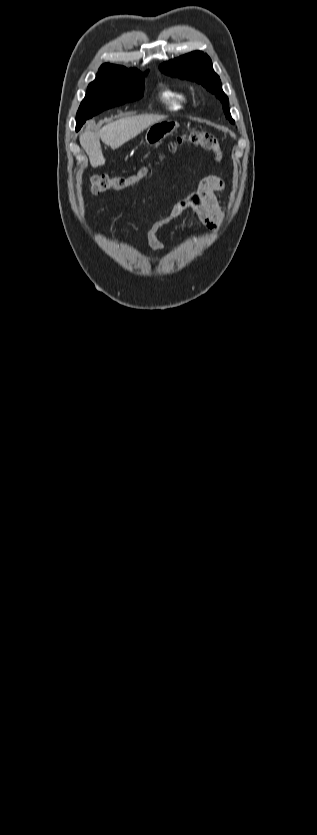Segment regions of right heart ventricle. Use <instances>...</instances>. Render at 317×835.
Masks as SVG:
<instances>
[{
    "instance_id": "right-heart-ventricle-1",
    "label": "right heart ventricle",
    "mask_w": 317,
    "mask_h": 835,
    "mask_svg": "<svg viewBox=\"0 0 317 835\" xmlns=\"http://www.w3.org/2000/svg\"><path fill=\"white\" fill-rule=\"evenodd\" d=\"M160 97L169 109L175 111L184 108L188 102L187 94L183 90L176 88L164 89L161 92Z\"/></svg>"
}]
</instances>
